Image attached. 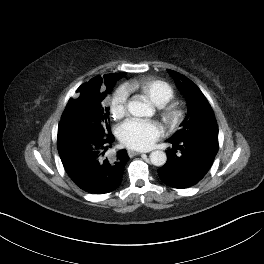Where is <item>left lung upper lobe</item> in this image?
I'll use <instances>...</instances> for the list:
<instances>
[{"label":"left lung upper lobe","mask_w":264,"mask_h":264,"mask_svg":"<svg viewBox=\"0 0 264 264\" xmlns=\"http://www.w3.org/2000/svg\"><path fill=\"white\" fill-rule=\"evenodd\" d=\"M187 100L188 112L179 129L168 140L180 142L195 137L218 140V126L213 110L201 90L185 76L168 70Z\"/></svg>","instance_id":"1"}]
</instances>
